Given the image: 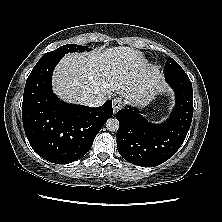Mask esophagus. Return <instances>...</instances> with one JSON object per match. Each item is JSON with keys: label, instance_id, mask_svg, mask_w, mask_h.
I'll return each mask as SVG.
<instances>
[{"label": "esophagus", "instance_id": "obj_1", "mask_svg": "<svg viewBox=\"0 0 222 222\" xmlns=\"http://www.w3.org/2000/svg\"><path fill=\"white\" fill-rule=\"evenodd\" d=\"M123 107V102L120 98H115L113 100V111L116 113Z\"/></svg>", "mask_w": 222, "mask_h": 222}]
</instances>
